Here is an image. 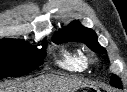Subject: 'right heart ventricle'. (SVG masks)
<instances>
[{
	"instance_id": "1",
	"label": "right heart ventricle",
	"mask_w": 127,
	"mask_h": 92,
	"mask_svg": "<svg viewBox=\"0 0 127 92\" xmlns=\"http://www.w3.org/2000/svg\"><path fill=\"white\" fill-rule=\"evenodd\" d=\"M57 63L70 72H81L87 66L84 55L77 49H62Z\"/></svg>"
}]
</instances>
